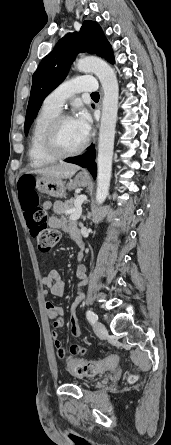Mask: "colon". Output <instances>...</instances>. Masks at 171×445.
Segmentation results:
<instances>
[{
  "instance_id": "5ec220e1",
  "label": "colon",
  "mask_w": 171,
  "mask_h": 445,
  "mask_svg": "<svg viewBox=\"0 0 171 445\" xmlns=\"http://www.w3.org/2000/svg\"><path fill=\"white\" fill-rule=\"evenodd\" d=\"M18 198L31 236L36 240L40 252H50L58 243L60 233L49 223V215L41 204V196L34 189V180L23 177L18 182ZM115 362L110 356L105 360L71 361L69 371L75 376H95ZM134 381V376H129Z\"/></svg>"
}]
</instances>
